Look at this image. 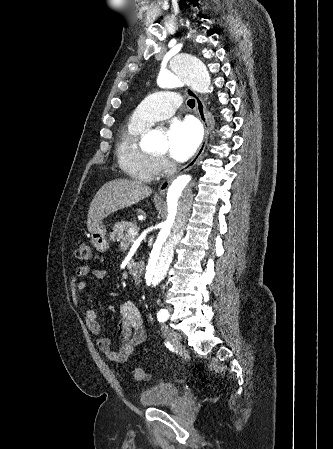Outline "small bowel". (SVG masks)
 I'll return each instance as SVG.
<instances>
[{
    "label": "small bowel",
    "instance_id": "c3829d8e",
    "mask_svg": "<svg viewBox=\"0 0 333 449\" xmlns=\"http://www.w3.org/2000/svg\"><path fill=\"white\" fill-rule=\"evenodd\" d=\"M91 273L88 266H81L77 269L70 281V291L72 297L84 305L83 291L86 287L85 277ZM97 280H102L106 272L102 269L92 271ZM120 322L118 325L121 346L118 350L111 347L110 339L102 335V325L96 312L90 308H85L84 316L88 330L97 337V346L108 360L114 363H123L133 354L135 348L146 339V330L143 325L141 314L132 301H125L120 305Z\"/></svg>",
    "mask_w": 333,
    "mask_h": 449
}]
</instances>
